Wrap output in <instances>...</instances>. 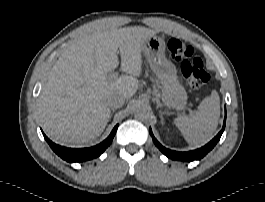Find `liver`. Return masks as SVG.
Wrapping results in <instances>:
<instances>
[{
	"label": "liver",
	"mask_w": 265,
	"mask_h": 202,
	"mask_svg": "<svg viewBox=\"0 0 265 202\" xmlns=\"http://www.w3.org/2000/svg\"><path fill=\"white\" fill-rule=\"evenodd\" d=\"M149 28L120 29L94 23L88 33L68 46L49 72L38 98L43 130L55 143L80 146L104 131L110 114L106 98L119 93L131 98L138 90L142 73V46L155 35ZM122 75L108 80L118 66Z\"/></svg>",
	"instance_id": "liver-1"
}]
</instances>
